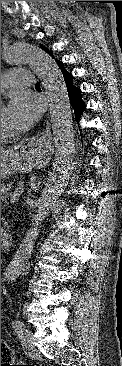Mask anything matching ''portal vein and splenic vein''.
Masks as SVG:
<instances>
[{"label": "portal vein and splenic vein", "instance_id": "18ae733b", "mask_svg": "<svg viewBox=\"0 0 122 366\" xmlns=\"http://www.w3.org/2000/svg\"><path fill=\"white\" fill-rule=\"evenodd\" d=\"M20 196V190H16L13 195L10 196V202H14Z\"/></svg>", "mask_w": 122, "mask_h": 366}]
</instances>
